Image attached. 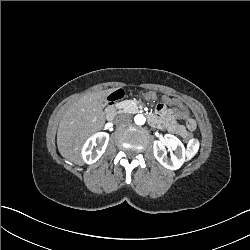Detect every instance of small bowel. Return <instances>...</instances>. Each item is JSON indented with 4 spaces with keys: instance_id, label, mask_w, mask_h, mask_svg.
Listing matches in <instances>:
<instances>
[{
    "instance_id": "small-bowel-1",
    "label": "small bowel",
    "mask_w": 250,
    "mask_h": 250,
    "mask_svg": "<svg viewBox=\"0 0 250 250\" xmlns=\"http://www.w3.org/2000/svg\"><path fill=\"white\" fill-rule=\"evenodd\" d=\"M176 117L179 118V119H182V120H185L186 122L187 121H193L190 117H189V114L186 110L184 109H180L176 112ZM153 119L155 118H158L157 116H153L152 117ZM161 121H165L167 124H171L173 123L170 119L166 118L165 115H162L161 117ZM194 122V121H193Z\"/></svg>"
}]
</instances>
